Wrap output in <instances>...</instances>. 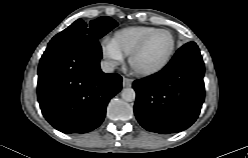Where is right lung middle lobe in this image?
I'll list each match as a JSON object with an SVG mask.
<instances>
[{
	"mask_svg": "<svg viewBox=\"0 0 248 158\" xmlns=\"http://www.w3.org/2000/svg\"><path fill=\"white\" fill-rule=\"evenodd\" d=\"M118 23L110 17H100L96 20L90 21L89 24L85 23L83 20L78 19L68 28L58 33L55 37H70V38H80L87 37L89 39H100L113 28H115Z\"/></svg>",
	"mask_w": 248,
	"mask_h": 158,
	"instance_id": "1",
	"label": "right lung middle lobe"
}]
</instances>
